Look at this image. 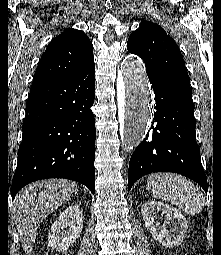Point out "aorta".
Returning a JSON list of instances; mask_svg holds the SVG:
<instances>
[{"label": "aorta", "instance_id": "aorta-1", "mask_svg": "<svg viewBox=\"0 0 221 255\" xmlns=\"http://www.w3.org/2000/svg\"><path fill=\"white\" fill-rule=\"evenodd\" d=\"M118 103L122 109L121 138L133 152L145 137L152 120V96L142 60L129 56L117 80Z\"/></svg>", "mask_w": 221, "mask_h": 255}]
</instances>
